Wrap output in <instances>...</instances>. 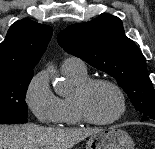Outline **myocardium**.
I'll return each mask as SVG.
<instances>
[{"mask_svg":"<svg viewBox=\"0 0 155 149\" xmlns=\"http://www.w3.org/2000/svg\"><path fill=\"white\" fill-rule=\"evenodd\" d=\"M97 85H107L113 88L120 99V110L119 113L109 120L96 119L89 111L87 107V96L89 92ZM74 106L82 121L98 126L112 125L121 120L127 111V99L123 89L114 81L106 78H93L81 83L77 86L73 95Z\"/></svg>","mask_w":155,"mask_h":149,"instance_id":"f54148a6","label":"myocardium"}]
</instances>
